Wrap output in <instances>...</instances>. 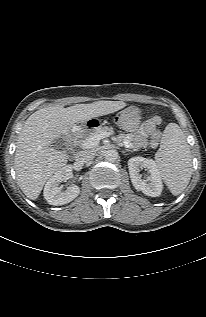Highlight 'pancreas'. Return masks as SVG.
<instances>
[{
	"label": "pancreas",
	"instance_id": "obj_1",
	"mask_svg": "<svg viewBox=\"0 0 206 317\" xmlns=\"http://www.w3.org/2000/svg\"><path fill=\"white\" fill-rule=\"evenodd\" d=\"M115 132L116 129L113 126H99L97 129L92 128L88 132L86 130H83L79 135V139L75 141V144L82 145L87 139L95 138L98 134L113 135Z\"/></svg>",
	"mask_w": 206,
	"mask_h": 317
}]
</instances>
